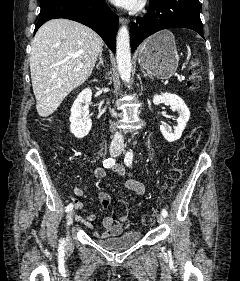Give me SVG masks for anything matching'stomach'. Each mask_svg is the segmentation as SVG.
<instances>
[{
    "instance_id": "1",
    "label": "stomach",
    "mask_w": 240,
    "mask_h": 281,
    "mask_svg": "<svg viewBox=\"0 0 240 281\" xmlns=\"http://www.w3.org/2000/svg\"><path fill=\"white\" fill-rule=\"evenodd\" d=\"M137 55L139 65L159 79H167L177 70L179 56L170 31H161L149 37Z\"/></svg>"
}]
</instances>
